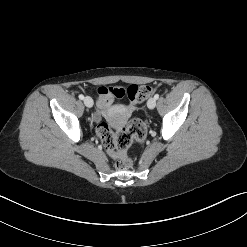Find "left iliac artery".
Masks as SVG:
<instances>
[{"mask_svg":"<svg viewBox=\"0 0 247 247\" xmlns=\"http://www.w3.org/2000/svg\"><path fill=\"white\" fill-rule=\"evenodd\" d=\"M154 98L158 99L159 98V94H155Z\"/></svg>","mask_w":247,"mask_h":247,"instance_id":"1","label":"left iliac artery"}]
</instances>
